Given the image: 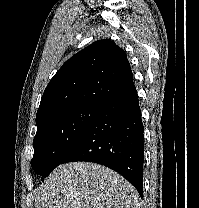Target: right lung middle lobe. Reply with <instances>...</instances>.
Returning a JSON list of instances; mask_svg holds the SVG:
<instances>
[{
  "label": "right lung middle lobe",
  "instance_id": "obj_1",
  "mask_svg": "<svg viewBox=\"0 0 199 208\" xmlns=\"http://www.w3.org/2000/svg\"><path fill=\"white\" fill-rule=\"evenodd\" d=\"M99 106H82L57 113L37 124L33 140V170L48 176L74 148Z\"/></svg>",
  "mask_w": 199,
  "mask_h": 208
}]
</instances>
